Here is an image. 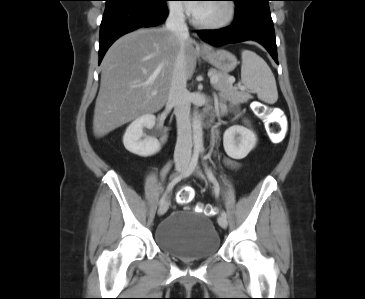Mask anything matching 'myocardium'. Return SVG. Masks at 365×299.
<instances>
[{"instance_id": "1", "label": "myocardium", "mask_w": 365, "mask_h": 299, "mask_svg": "<svg viewBox=\"0 0 365 299\" xmlns=\"http://www.w3.org/2000/svg\"><path fill=\"white\" fill-rule=\"evenodd\" d=\"M224 1L226 2V5L228 7V14L223 20L218 22H202L198 20V18L195 15H193L192 18L193 24L199 28L207 30L223 29L231 25L235 21L237 15V6L234 0H224Z\"/></svg>"}]
</instances>
